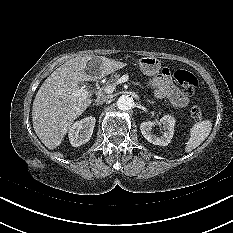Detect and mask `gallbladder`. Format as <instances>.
Segmentation results:
<instances>
[{
	"mask_svg": "<svg viewBox=\"0 0 233 233\" xmlns=\"http://www.w3.org/2000/svg\"><path fill=\"white\" fill-rule=\"evenodd\" d=\"M99 61V58L94 56L91 61L88 62L89 67L91 68L92 65L96 64ZM91 71V69H90Z\"/></svg>",
	"mask_w": 233,
	"mask_h": 233,
	"instance_id": "gallbladder-1",
	"label": "gallbladder"
}]
</instances>
